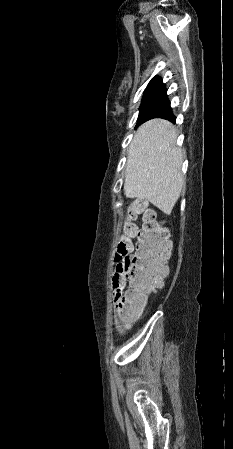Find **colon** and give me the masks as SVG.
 <instances>
[{"mask_svg": "<svg viewBox=\"0 0 233 449\" xmlns=\"http://www.w3.org/2000/svg\"><path fill=\"white\" fill-rule=\"evenodd\" d=\"M137 213H142L144 224L137 230L133 223ZM137 237L136 253L132 255L133 239ZM171 242L166 230L156 221L154 211L143 202H133L119 238L116 261L128 272L129 289L118 304L117 316L131 322L143 310L146 300L167 274L166 261Z\"/></svg>", "mask_w": 233, "mask_h": 449, "instance_id": "1", "label": "colon"}]
</instances>
